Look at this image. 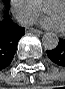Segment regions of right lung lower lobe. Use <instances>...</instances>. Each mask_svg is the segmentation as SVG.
Instances as JSON below:
<instances>
[{
	"label": "right lung lower lobe",
	"mask_w": 65,
	"mask_h": 89,
	"mask_svg": "<svg viewBox=\"0 0 65 89\" xmlns=\"http://www.w3.org/2000/svg\"><path fill=\"white\" fill-rule=\"evenodd\" d=\"M25 34V28L15 24L6 13L0 21V70L6 68L13 60L20 38Z\"/></svg>",
	"instance_id": "1"
}]
</instances>
